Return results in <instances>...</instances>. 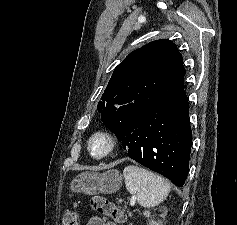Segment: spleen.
<instances>
[{
    "label": "spleen",
    "instance_id": "spleen-1",
    "mask_svg": "<svg viewBox=\"0 0 237 225\" xmlns=\"http://www.w3.org/2000/svg\"><path fill=\"white\" fill-rule=\"evenodd\" d=\"M125 186L130 194L136 195L144 208L159 205L168 196L171 186L162 176L135 165L124 168Z\"/></svg>",
    "mask_w": 237,
    "mask_h": 225
}]
</instances>
